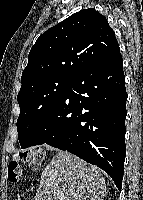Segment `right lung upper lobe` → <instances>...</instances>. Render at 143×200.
Instances as JSON below:
<instances>
[{"label": "right lung upper lobe", "instance_id": "cb5924a9", "mask_svg": "<svg viewBox=\"0 0 143 200\" xmlns=\"http://www.w3.org/2000/svg\"><path fill=\"white\" fill-rule=\"evenodd\" d=\"M105 16L84 9L44 32L28 55L21 89L51 77L73 78L117 49Z\"/></svg>", "mask_w": 143, "mask_h": 200}]
</instances>
